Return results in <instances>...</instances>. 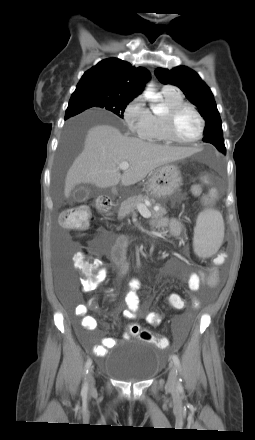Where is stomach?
<instances>
[{
  "instance_id": "stomach-1",
  "label": "stomach",
  "mask_w": 255,
  "mask_h": 440,
  "mask_svg": "<svg viewBox=\"0 0 255 440\" xmlns=\"http://www.w3.org/2000/svg\"><path fill=\"white\" fill-rule=\"evenodd\" d=\"M182 184L179 168L172 164H166L157 168L148 180V190L159 199L174 194Z\"/></svg>"
}]
</instances>
